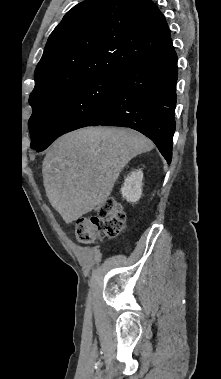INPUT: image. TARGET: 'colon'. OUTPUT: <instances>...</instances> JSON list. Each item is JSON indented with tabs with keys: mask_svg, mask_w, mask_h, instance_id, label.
<instances>
[{
	"mask_svg": "<svg viewBox=\"0 0 221 379\" xmlns=\"http://www.w3.org/2000/svg\"><path fill=\"white\" fill-rule=\"evenodd\" d=\"M126 215L114 200L99 205L89 217L76 222L75 235L81 244H91L97 239L118 235L125 227Z\"/></svg>",
	"mask_w": 221,
	"mask_h": 379,
	"instance_id": "colon-1",
	"label": "colon"
}]
</instances>
